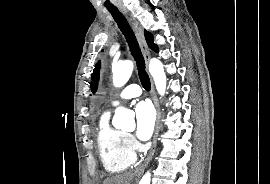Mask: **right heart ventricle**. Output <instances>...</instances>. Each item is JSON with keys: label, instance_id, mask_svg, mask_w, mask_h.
I'll use <instances>...</instances> for the list:
<instances>
[{"label": "right heart ventricle", "instance_id": "e07e8e85", "mask_svg": "<svg viewBox=\"0 0 270 184\" xmlns=\"http://www.w3.org/2000/svg\"><path fill=\"white\" fill-rule=\"evenodd\" d=\"M97 144L102 164L108 172H121L136 160L128 136L110 125L109 112H104L98 121Z\"/></svg>", "mask_w": 270, "mask_h": 184}]
</instances>
